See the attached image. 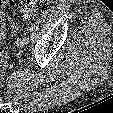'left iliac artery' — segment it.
Masks as SVG:
<instances>
[{"label": "left iliac artery", "mask_w": 113, "mask_h": 113, "mask_svg": "<svg viewBox=\"0 0 113 113\" xmlns=\"http://www.w3.org/2000/svg\"><path fill=\"white\" fill-rule=\"evenodd\" d=\"M25 38H27V37H25ZM28 42H29V38H27V42H26V44H28Z\"/></svg>", "instance_id": "left-iliac-artery-1"}]
</instances>
